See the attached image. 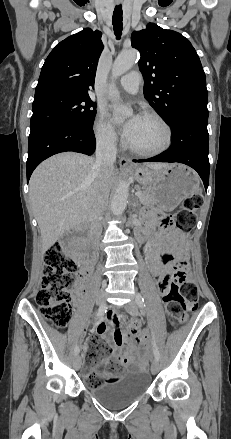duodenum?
<instances>
[{
  "mask_svg": "<svg viewBox=\"0 0 231 439\" xmlns=\"http://www.w3.org/2000/svg\"><path fill=\"white\" fill-rule=\"evenodd\" d=\"M83 232V230L81 229V228H79V227H77V228H75L74 230H73V232H72V236H77V235H80L81 233ZM86 247H87V249L89 250V251H92V249H93V247H92V245L90 244V243H87L86 244ZM92 258H90L89 260H87V262H86V266L84 267V268H86L87 270L89 269V267H88V265L92 262Z\"/></svg>",
  "mask_w": 231,
  "mask_h": 439,
  "instance_id": "1",
  "label": "duodenum"
}]
</instances>
